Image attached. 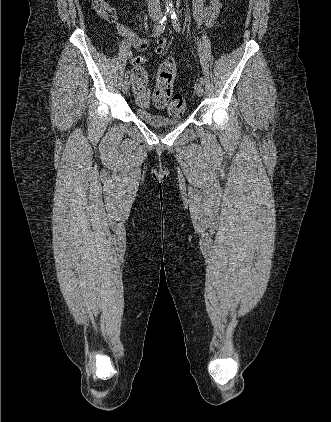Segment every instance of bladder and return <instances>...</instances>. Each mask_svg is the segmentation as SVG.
Returning <instances> with one entry per match:
<instances>
[{
  "instance_id": "bladder-1",
  "label": "bladder",
  "mask_w": 331,
  "mask_h": 422,
  "mask_svg": "<svg viewBox=\"0 0 331 422\" xmlns=\"http://www.w3.org/2000/svg\"><path fill=\"white\" fill-rule=\"evenodd\" d=\"M135 114L141 121L155 128L177 126L184 119L183 115L170 117L165 114L152 112L144 108H136Z\"/></svg>"
}]
</instances>
